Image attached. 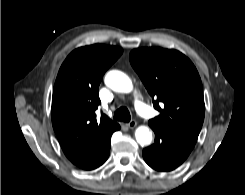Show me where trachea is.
I'll use <instances>...</instances> for the list:
<instances>
[{
  "label": "trachea",
  "mask_w": 245,
  "mask_h": 195,
  "mask_svg": "<svg viewBox=\"0 0 245 195\" xmlns=\"http://www.w3.org/2000/svg\"><path fill=\"white\" fill-rule=\"evenodd\" d=\"M114 119L118 121L129 122L131 120V115L129 110L126 107H120L114 113Z\"/></svg>",
  "instance_id": "3493384b"
}]
</instances>
